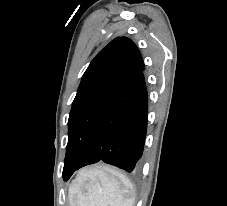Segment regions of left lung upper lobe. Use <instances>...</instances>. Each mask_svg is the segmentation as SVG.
<instances>
[{
	"label": "left lung upper lobe",
	"instance_id": "1",
	"mask_svg": "<svg viewBox=\"0 0 227 206\" xmlns=\"http://www.w3.org/2000/svg\"><path fill=\"white\" fill-rule=\"evenodd\" d=\"M144 68L138 48L127 37L115 38L91 61L72 103L63 170L79 163L108 104Z\"/></svg>",
	"mask_w": 227,
	"mask_h": 206
}]
</instances>
